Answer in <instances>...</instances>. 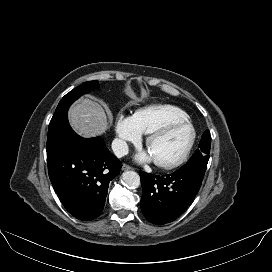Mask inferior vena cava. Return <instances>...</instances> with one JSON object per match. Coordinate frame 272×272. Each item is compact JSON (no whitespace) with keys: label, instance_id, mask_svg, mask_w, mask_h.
<instances>
[{"label":"inferior vena cava","instance_id":"602c4592","mask_svg":"<svg viewBox=\"0 0 272 272\" xmlns=\"http://www.w3.org/2000/svg\"><path fill=\"white\" fill-rule=\"evenodd\" d=\"M111 147H112L113 153L118 158H121V157L127 155L129 152V148H128L127 143L121 139H118V138H116L112 141Z\"/></svg>","mask_w":272,"mask_h":272}]
</instances>
